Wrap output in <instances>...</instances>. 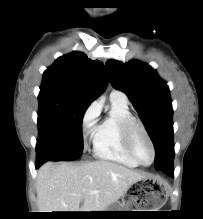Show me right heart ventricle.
I'll return each instance as SVG.
<instances>
[{"instance_id": "e07e8e85", "label": "right heart ventricle", "mask_w": 203, "mask_h": 219, "mask_svg": "<svg viewBox=\"0 0 203 219\" xmlns=\"http://www.w3.org/2000/svg\"><path fill=\"white\" fill-rule=\"evenodd\" d=\"M111 102L110 113L97 127L94 135V156L100 160L115 162L127 167H138L139 164L126 150L122 133L124 122L134 117L127 104L114 100Z\"/></svg>"}]
</instances>
